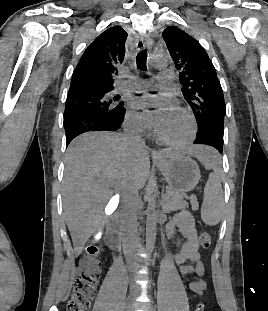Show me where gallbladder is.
Masks as SVG:
<instances>
[{"instance_id": "1", "label": "gallbladder", "mask_w": 268, "mask_h": 311, "mask_svg": "<svg viewBox=\"0 0 268 311\" xmlns=\"http://www.w3.org/2000/svg\"><path fill=\"white\" fill-rule=\"evenodd\" d=\"M121 206V199H107L106 206L104 208L105 213L110 214L114 213L115 209ZM104 229L100 228L99 232H96V239H103L104 237Z\"/></svg>"}]
</instances>
